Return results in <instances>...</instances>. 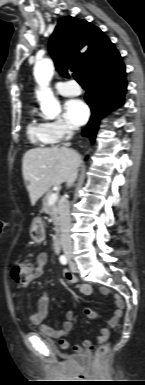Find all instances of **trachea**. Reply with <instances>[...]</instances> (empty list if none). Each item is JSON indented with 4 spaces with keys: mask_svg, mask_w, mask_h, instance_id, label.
I'll use <instances>...</instances> for the list:
<instances>
[{
    "mask_svg": "<svg viewBox=\"0 0 145 385\" xmlns=\"http://www.w3.org/2000/svg\"><path fill=\"white\" fill-rule=\"evenodd\" d=\"M73 77H74V79H75L80 85H84V84H85L83 78L81 77V75H80L78 72H74V73H73Z\"/></svg>",
    "mask_w": 145,
    "mask_h": 385,
    "instance_id": "1",
    "label": "trachea"
}]
</instances>
